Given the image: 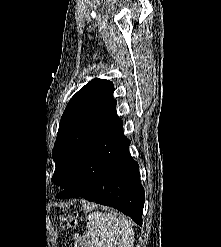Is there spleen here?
<instances>
[{
    "label": "spleen",
    "mask_w": 221,
    "mask_h": 247,
    "mask_svg": "<svg viewBox=\"0 0 221 247\" xmlns=\"http://www.w3.org/2000/svg\"><path fill=\"white\" fill-rule=\"evenodd\" d=\"M88 230L81 247H133L134 231L131 223L115 212H94L88 216Z\"/></svg>",
    "instance_id": "1"
}]
</instances>
